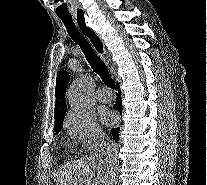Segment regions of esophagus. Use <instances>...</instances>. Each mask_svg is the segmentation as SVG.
Wrapping results in <instances>:
<instances>
[{"label":"esophagus","mask_w":207,"mask_h":185,"mask_svg":"<svg viewBox=\"0 0 207 185\" xmlns=\"http://www.w3.org/2000/svg\"><path fill=\"white\" fill-rule=\"evenodd\" d=\"M74 13L75 14H86L87 10L86 9H75ZM74 19L78 20L77 26L79 29L81 27V24H89V19H87L86 15H75ZM82 30H91V25H82ZM85 38H90V43L93 46H95V48H102V42L100 43L101 33H85Z\"/></svg>","instance_id":"34e87169"}]
</instances>
